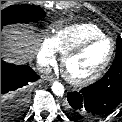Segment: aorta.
I'll list each match as a JSON object with an SVG mask.
<instances>
[{
	"label": "aorta",
	"mask_w": 122,
	"mask_h": 122,
	"mask_svg": "<svg viewBox=\"0 0 122 122\" xmlns=\"http://www.w3.org/2000/svg\"><path fill=\"white\" fill-rule=\"evenodd\" d=\"M52 91L56 96H62L64 94V86L60 82H54L52 84Z\"/></svg>",
	"instance_id": "762f6f07"
}]
</instances>
